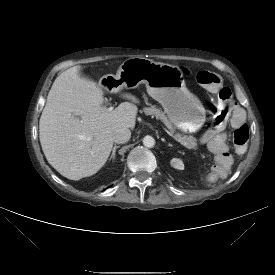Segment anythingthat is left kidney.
Returning a JSON list of instances; mask_svg holds the SVG:
<instances>
[{
	"mask_svg": "<svg viewBox=\"0 0 275 275\" xmlns=\"http://www.w3.org/2000/svg\"><path fill=\"white\" fill-rule=\"evenodd\" d=\"M171 165L172 167H174L175 169H179V170H183L184 169V164L180 159H172L171 160Z\"/></svg>",
	"mask_w": 275,
	"mask_h": 275,
	"instance_id": "1",
	"label": "left kidney"
}]
</instances>
